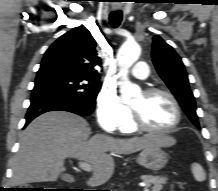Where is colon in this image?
<instances>
[{"instance_id": "1", "label": "colon", "mask_w": 218, "mask_h": 191, "mask_svg": "<svg viewBox=\"0 0 218 191\" xmlns=\"http://www.w3.org/2000/svg\"><path fill=\"white\" fill-rule=\"evenodd\" d=\"M25 191H41V190L37 188H26Z\"/></svg>"}]
</instances>
